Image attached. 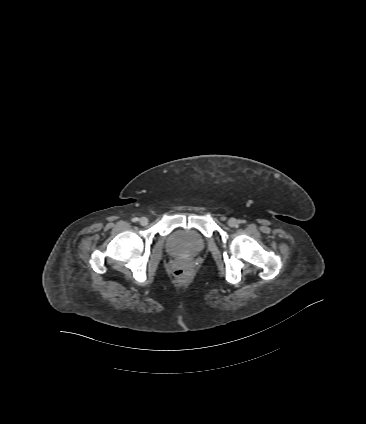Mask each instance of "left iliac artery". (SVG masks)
Segmentation results:
<instances>
[{
	"label": "left iliac artery",
	"instance_id": "obj_1",
	"mask_svg": "<svg viewBox=\"0 0 366 424\" xmlns=\"http://www.w3.org/2000/svg\"><path fill=\"white\" fill-rule=\"evenodd\" d=\"M244 222H245L244 220L239 221V223H244Z\"/></svg>",
	"mask_w": 366,
	"mask_h": 424
}]
</instances>
